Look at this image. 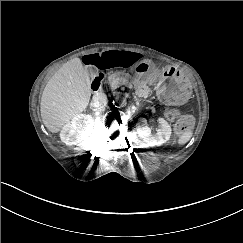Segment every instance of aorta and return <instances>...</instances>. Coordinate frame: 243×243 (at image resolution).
Wrapping results in <instances>:
<instances>
[{
  "label": "aorta",
  "instance_id": "1",
  "mask_svg": "<svg viewBox=\"0 0 243 243\" xmlns=\"http://www.w3.org/2000/svg\"><path fill=\"white\" fill-rule=\"evenodd\" d=\"M113 103L117 108H124L127 105V98L122 94H117L113 98Z\"/></svg>",
  "mask_w": 243,
  "mask_h": 243
}]
</instances>
